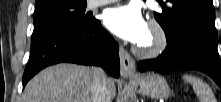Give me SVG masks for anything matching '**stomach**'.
Here are the masks:
<instances>
[{"label": "stomach", "mask_w": 221, "mask_h": 102, "mask_svg": "<svg viewBox=\"0 0 221 102\" xmlns=\"http://www.w3.org/2000/svg\"><path fill=\"white\" fill-rule=\"evenodd\" d=\"M139 90L145 96L151 98H168L171 90L164 77L158 74H148L138 81Z\"/></svg>", "instance_id": "0dacf381"}]
</instances>
